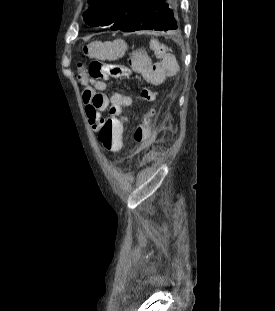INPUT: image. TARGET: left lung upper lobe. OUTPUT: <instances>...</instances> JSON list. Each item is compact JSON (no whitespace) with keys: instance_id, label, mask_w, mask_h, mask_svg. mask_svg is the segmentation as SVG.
Returning a JSON list of instances; mask_svg holds the SVG:
<instances>
[{"instance_id":"obj_1","label":"left lung upper lobe","mask_w":275,"mask_h":311,"mask_svg":"<svg viewBox=\"0 0 275 311\" xmlns=\"http://www.w3.org/2000/svg\"><path fill=\"white\" fill-rule=\"evenodd\" d=\"M144 0H89L90 7L83 14L91 26L110 25L111 30H120Z\"/></svg>"}]
</instances>
